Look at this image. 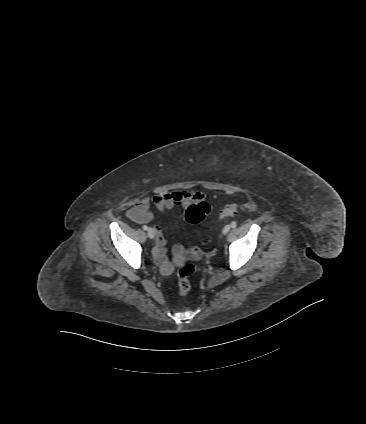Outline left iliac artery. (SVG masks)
Here are the masks:
<instances>
[{
    "instance_id": "1",
    "label": "left iliac artery",
    "mask_w": 366,
    "mask_h": 424,
    "mask_svg": "<svg viewBox=\"0 0 366 424\" xmlns=\"http://www.w3.org/2000/svg\"><path fill=\"white\" fill-rule=\"evenodd\" d=\"M236 222H232L231 224H230V226L232 227V228H235L236 227Z\"/></svg>"
}]
</instances>
